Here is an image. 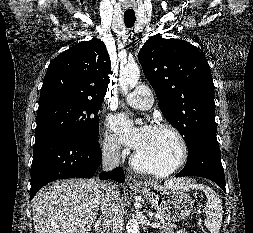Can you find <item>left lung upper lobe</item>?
Segmentation results:
<instances>
[{"mask_svg": "<svg viewBox=\"0 0 253 233\" xmlns=\"http://www.w3.org/2000/svg\"><path fill=\"white\" fill-rule=\"evenodd\" d=\"M138 59L159 108L184 137L188 150L201 139L217 142L214 84L203 52L183 40L153 36Z\"/></svg>", "mask_w": 253, "mask_h": 233, "instance_id": "5c2ea615", "label": "left lung upper lobe"}]
</instances>
